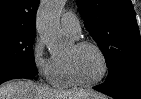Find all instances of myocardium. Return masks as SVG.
Here are the masks:
<instances>
[{
    "label": "myocardium",
    "instance_id": "myocardium-1",
    "mask_svg": "<svg viewBox=\"0 0 141 99\" xmlns=\"http://www.w3.org/2000/svg\"><path fill=\"white\" fill-rule=\"evenodd\" d=\"M74 46L78 49L83 48V47H91V48L95 49L98 52V54L102 60L103 70H102L101 75L97 79H95L93 81H83L78 77L72 60L69 58H65L68 73H69V76H70L71 80L73 81V83L75 85L81 86V87H93V86H96L99 83H101L105 79V77L108 73V60H107V56H106L105 52L103 51V49L95 42H92L89 40L78 41Z\"/></svg>",
    "mask_w": 141,
    "mask_h": 99
}]
</instances>
